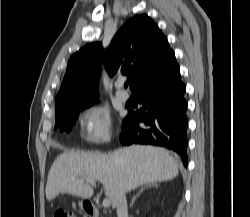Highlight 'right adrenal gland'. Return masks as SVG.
<instances>
[{
	"label": "right adrenal gland",
	"instance_id": "2a0ac1e0",
	"mask_svg": "<svg viewBox=\"0 0 250 217\" xmlns=\"http://www.w3.org/2000/svg\"><path fill=\"white\" fill-rule=\"evenodd\" d=\"M150 186H156V187H157V184H153V183H152V184H147L146 186H143V187L139 190V192L132 198V201H131V204H130V208L133 206V204H134L136 198H137L138 196L141 195V193L145 190V188H148V187H150Z\"/></svg>",
	"mask_w": 250,
	"mask_h": 217
}]
</instances>
